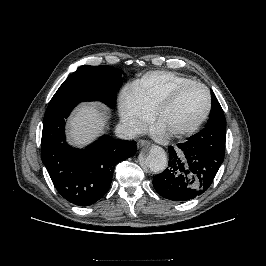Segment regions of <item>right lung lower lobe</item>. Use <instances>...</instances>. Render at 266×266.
<instances>
[{
  "label": "right lung lower lobe",
  "mask_w": 266,
  "mask_h": 266,
  "mask_svg": "<svg viewBox=\"0 0 266 266\" xmlns=\"http://www.w3.org/2000/svg\"><path fill=\"white\" fill-rule=\"evenodd\" d=\"M79 101L52 98L44 115L41 158L62 197L78 206H88L108 191L115 165L133 156L135 141L107 135L85 149H75L65 140V119Z\"/></svg>",
  "instance_id": "98d812e1"
}]
</instances>
